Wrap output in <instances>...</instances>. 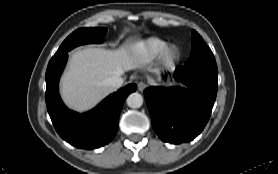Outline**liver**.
<instances>
[{
    "label": "liver",
    "instance_id": "6515ba94",
    "mask_svg": "<svg viewBox=\"0 0 278 174\" xmlns=\"http://www.w3.org/2000/svg\"><path fill=\"white\" fill-rule=\"evenodd\" d=\"M141 66L132 44L117 50L87 47L76 51L61 78L62 99L73 110L88 111L115 90L107 79Z\"/></svg>",
    "mask_w": 278,
    "mask_h": 174
}]
</instances>
